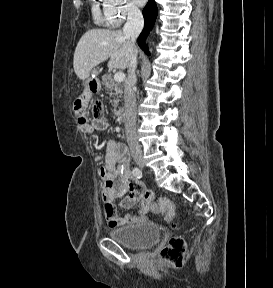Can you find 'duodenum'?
<instances>
[{
  "label": "duodenum",
  "instance_id": "410a0bca",
  "mask_svg": "<svg viewBox=\"0 0 273 288\" xmlns=\"http://www.w3.org/2000/svg\"><path fill=\"white\" fill-rule=\"evenodd\" d=\"M117 118L120 122L126 121V111L124 108L122 107L117 108Z\"/></svg>",
  "mask_w": 273,
  "mask_h": 288
}]
</instances>
